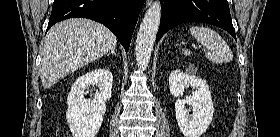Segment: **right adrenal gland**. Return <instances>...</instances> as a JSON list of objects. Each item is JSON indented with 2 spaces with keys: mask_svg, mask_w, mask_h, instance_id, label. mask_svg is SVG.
Instances as JSON below:
<instances>
[{
  "mask_svg": "<svg viewBox=\"0 0 280 137\" xmlns=\"http://www.w3.org/2000/svg\"><path fill=\"white\" fill-rule=\"evenodd\" d=\"M110 53H112L114 55H117L116 52H115V48L111 49Z\"/></svg>",
  "mask_w": 280,
  "mask_h": 137,
  "instance_id": "obj_1",
  "label": "right adrenal gland"
}]
</instances>
